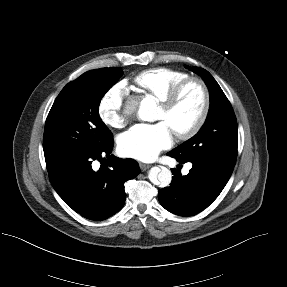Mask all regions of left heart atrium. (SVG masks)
Instances as JSON below:
<instances>
[{"instance_id": "1", "label": "left heart atrium", "mask_w": 287, "mask_h": 287, "mask_svg": "<svg viewBox=\"0 0 287 287\" xmlns=\"http://www.w3.org/2000/svg\"><path fill=\"white\" fill-rule=\"evenodd\" d=\"M171 143L172 132L164 122L136 124L120 136L119 150L124 156L151 161Z\"/></svg>"}]
</instances>
